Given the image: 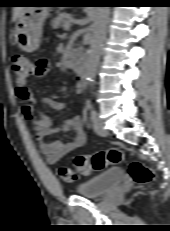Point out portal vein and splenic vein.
<instances>
[{"label":"portal vein and splenic vein","mask_w":170,"mask_h":231,"mask_svg":"<svg viewBox=\"0 0 170 231\" xmlns=\"http://www.w3.org/2000/svg\"><path fill=\"white\" fill-rule=\"evenodd\" d=\"M70 29V23L67 22L65 25H64V30L65 31H68Z\"/></svg>","instance_id":"18ae733b"}]
</instances>
